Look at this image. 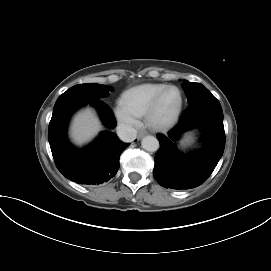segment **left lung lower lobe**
Returning a JSON list of instances; mask_svg holds the SVG:
<instances>
[{"label": "left lung lower lobe", "mask_w": 271, "mask_h": 271, "mask_svg": "<svg viewBox=\"0 0 271 271\" xmlns=\"http://www.w3.org/2000/svg\"><path fill=\"white\" fill-rule=\"evenodd\" d=\"M199 128L204 146L189 157L182 156L176 142L186 131ZM153 176L164 188L190 189L201 185L213 172L225 147L223 111L215 97L199 100L184 112L168 135H158Z\"/></svg>", "instance_id": "1"}]
</instances>
